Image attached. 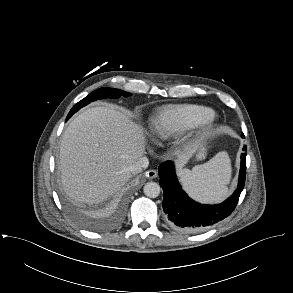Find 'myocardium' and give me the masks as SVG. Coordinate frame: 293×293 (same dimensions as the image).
<instances>
[{"mask_svg":"<svg viewBox=\"0 0 293 293\" xmlns=\"http://www.w3.org/2000/svg\"><path fill=\"white\" fill-rule=\"evenodd\" d=\"M214 120H215V116L208 117L200 124V126H204V127L209 126L214 122Z\"/></svg>","mask_w":293,"mask_h":293,"instance_id":"myocardium-1","label":"myocardium"}]
</instances>
